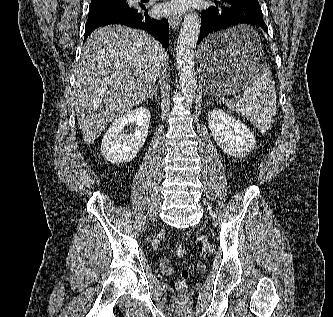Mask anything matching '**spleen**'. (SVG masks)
<instances>
[{"instance_id":"3e777b00","label":"spleen","mask_w":333,"mask_h":317,"mask_svg":"<svg viewBox=\"0 0 333 317\" xmlns=\"http://www.w3.org/2000/svg\"><path fill=\"white\" fill-rule=\"evenodd\" d=\"M242 28L244 44L252 47L259 39L257 32L247 25ZM230 107L249 119L258 131L266 132L276 115V90L270 71L262 70Z\"/></svg>"}]
</instances>
